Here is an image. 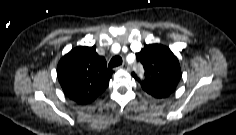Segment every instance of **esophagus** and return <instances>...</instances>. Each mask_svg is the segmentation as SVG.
<instances>
[{
    "label": "esophagus",
    "mask_w": 236,
    "mask_h": 135,
    "mask_svg": "<svg viewBox=\"0 0 236 135\" xmlns=\"http://www.w3.org/2000/svg\"><path fill=\"white\" fill-rule=\"evenodd\" d=\"M121 68H123L125 70H129V66L126 63H123Z\"/></svg>",
    "instance_id": "1"
}]
</instances>
